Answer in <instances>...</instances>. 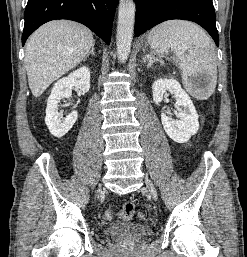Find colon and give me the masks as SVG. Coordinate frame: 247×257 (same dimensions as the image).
Returning a JSON list of instances; mask_svg holds the SVG:
<instances>
[{
    "label": "colon",
    "mask_w": 247,
    "mask_h": 257,
    "mask_svg": "<svg viewBox=\"0 0 247 257\" xmlns=\"http://www.w3.org/2000/svg\"><path fill=\"white\" fill-rule=\"evenodd\" d=\"M135 213V204L133 202H126L123 204L119 217L121 219H130ZM114 217V212L112 210H106L104 212V219L109 221Z\"/></svg>",
    "instance_id": "obj_1"
}]
</instances>
